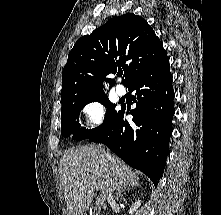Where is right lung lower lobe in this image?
Segmentation results:
<instances>
[{
  "instance_id": "98d812e1",
  "label": "right lung lower lobe",
  "mask_w": 221,
  "mask_h": 215,
  "mask_svg": "<svg viewBox=\"0 0 221 215\" xmlns=\"http://www.w3.org/2000/svg\"><path fill=\"white\" fill-rule=\"evenodd\" d=\"M128 89L136 94V108L130 112L127 109V114L133 116L132 121L124 118L126 108L122 106L110 127L88 139L108 146L157 186L169 153L174 115V91L168 57L137 77Z\"/></svg>"
}]
</instances>
